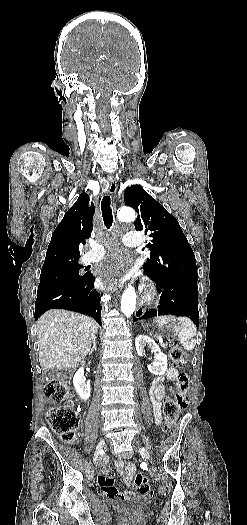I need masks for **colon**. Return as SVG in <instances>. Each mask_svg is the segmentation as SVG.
Listing matches in <instances>:
<instances>
[{
    "label": "colon",
    "instance_id": "5ec220e1",
    "mask_svg": "<svg viewBox=\"0 0 247 525\" xmlns=\"http://www.w3.org/2000/svg\"><path fill=\"white\" fill-rule=\"evenodd\" d=\"M170 357L174 367L180 368L185 363L182 349L176 344H170ZM179 388L185 390L189 385V376L185 373L179 375L176 380ZM46 396L55 402H63V406L51 407L46 413V419L53 431L60 435L65 442H72L76 437L79 426V413L71 397L68 386L61 381H51L45 388ZM188 403L186 393L180 392L169 395L164 403L163 415L168 426L176 421L179 412L183 411ZM135 486L141 495H149L151 487L147 476L138 472L135 474Z\"/></svg>",
    "mask_w": 247,
    "mask_h": 525
}]
</instances>
